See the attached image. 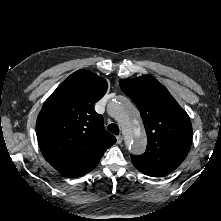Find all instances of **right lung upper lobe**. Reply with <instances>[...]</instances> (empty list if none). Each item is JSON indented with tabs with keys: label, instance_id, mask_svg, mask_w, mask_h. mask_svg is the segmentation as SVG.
Segmentation results:
<instances>
[{
	"label": "right lung upper lobe",
	"instance_id": "1",
	"mask_svg": "<svg viewBox=\"0 0 221 221\" xmlns=\"http://www.w3.org/2000/svg\"><path fill=\"white\" fill-rule=\"evenodd\" d=\"M107 88L103 78L78 70L46 100L38 115L36 133L42 154L51 166L106 151L116 142L93 107Z\"/></svg>",
	"mask_w": 221,
	"mask_h": 221
}]
</instances>
